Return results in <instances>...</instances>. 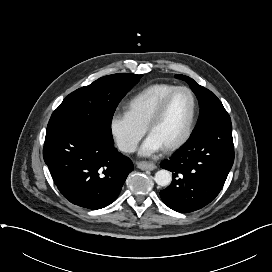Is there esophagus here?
<instances>
[{
  "mask_svg": "<svg viewBox=\"0 0 272 272\" xmlns=\"http://www.w3.org/2000/svg\"><path fill=\"white\" fill-rule=\"evenodd\" d=\"M136 165L141 170H153L156 168V165L149 161H138Z\"/></svg>",
  "mask_w": 272,
  "mask_h": 272,
  "instance_id": "1",
  "label": "esophagus"
}]
</instances>
